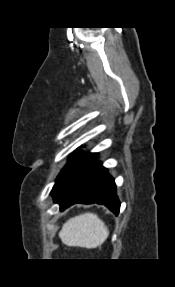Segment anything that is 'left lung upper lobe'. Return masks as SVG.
Returning a JSON list of instances; mask_svg holds the SVG:
<instances>
[{
	"label": "left lung upper lobe",
	"mask_w": 175,
	"mask_h": 287,
	"mask_svg": "<svg viewBox=\"0 0 175 287\" xmlns=\"http://www.w3.org/2000/svg\"><path fill=\"white\" fill-rule=\"evenodd\" d=\"M96 153L79 152L73 155L61 170L51 193L54 200L59 198L96 160Z\"/></svg>",
	"instance_id": "obj_1"
}]
</instances>
